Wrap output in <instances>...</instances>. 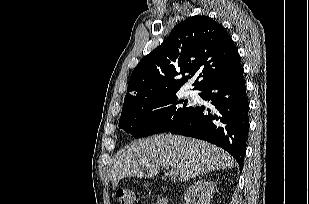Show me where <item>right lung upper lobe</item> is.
<instances>
[{"label": "right lung upper lobe", "mask_w": 309, "mask_h": 204, "mask_svg": "<svg viewBox=\"0 0 309 204\" xmlns=\"http://www.w3.org/2000/svg\"><path fill=\"white\" fill-rule=\"evenodd\" d=\"M239 66L235 44L220 24L208 16L189 17L139 62L129 79L124 101L177 92L196 72L200 74L194 89L201 90ZM179 75L183 77L179 79Z\"/></svg>", "instance_id": "1"}]
</instances>
